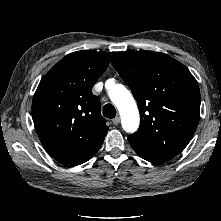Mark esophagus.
<instances>
[{"label": "esophagus", "instance_id": "1", "mask_svg": "<svg viewBox=\"0 0 221 221\" xmlns=\"http://www.w3.org/2000/svg\"><path fill=\"white\" fill-rule=\"evenodd\" d=\"M113 124L114 125H118L120 123V117H115L113 120H112Z\"/></svg>", "mask_w": 221, "mask_h": 221}]
</instances>
